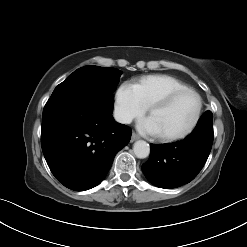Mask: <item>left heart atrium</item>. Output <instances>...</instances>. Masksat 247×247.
I'll use <instances>...</instances> for the list:
<instances>
[{
	"instance_id": "39dd6f15",
	"label": "left heart atrium",
	"mask_w": 247,
	"mask_h": 247,
	"mask_svg": "<svg viewBox=\"0 0 247 247\" xmlns=\"http://www.w3.org/2000/svg\"><path fill=\"white\" fill-rule=\"evenodd\" d=\"M138 130L144 135L158 136L159 133L150 117L141 119L137 124Z\"/></svg>"
}]
</instances>
